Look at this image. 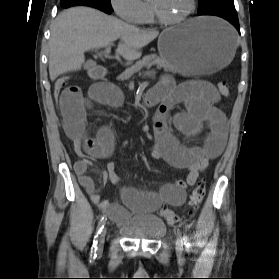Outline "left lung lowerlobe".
Returning <instances> with one entry per match:
<instances>
[{
  "label": "left lung lower lobe",
  "mask_w": 279,
  "mask_h": 279,
  "mask_svg": "<svg viewBox=\"0 0 279 279\" xmlns=\"http://www.w3.org/2000/svg\"><path fill=\"white\" fill-rule=\"evenodd\" d=\"M200 15H214L229 21L240 33L239 20L233 2H222L214 4L203 11H199Z\"/></svg>",
  "instance_id": "obj_1"
}]
</instances>
